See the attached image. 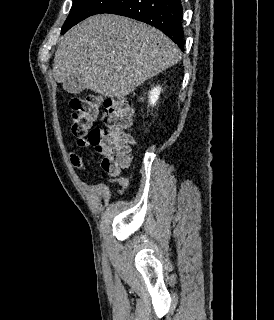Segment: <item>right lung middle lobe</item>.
<instances>
[{"mask_svg":"<svg viewBox=\"0 0 274 320\" xmlns=\"http://www.w3.org/2000/svg\"><path fill=\"white\" fill-rule=\"evenodd\" d=\"M116 1L117 0H73L70 14L62 27L61 33H65L81 20L101 13L105 8Z\"/></svg>","mask_w":274,"mask_h":320,"instance_id":"right-lung-middle-lobe-1","label":"right lung middle lobe"}]
</instances>
